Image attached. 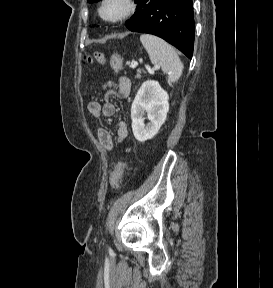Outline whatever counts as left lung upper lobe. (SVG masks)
Wrapping results in <instances>:
<instances>
[{
  "mask_svg": "<svg viewBox=\"0 0 273 288\" xmlns=\"http://www.w3.org/2000/svg\"><path fill=\"white\" fill-rule=\"evenodd\" d=\"M88 2H96V1H99V0H87Z\"/></svg>",
  "mask_w": 273,
  "mask_h": 288,
  "instance_id": "obj_1",
  "label": "left lung upper lobe"
}]
</instances>
